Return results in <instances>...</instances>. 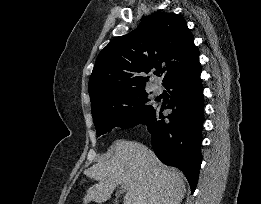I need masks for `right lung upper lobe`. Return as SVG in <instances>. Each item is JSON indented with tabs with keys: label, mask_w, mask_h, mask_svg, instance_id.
I'll list each match as a JSON object with an SVG mask.
<instances>
[{
	"label": "right lung upper lobe",
	"mask_w": 261,
	"mask_h": 204,
	"mask_svg": "<svg viewBox=\"0 0 261 204\" xmlns=\"http://www.w3.org/2000/svg\"><path fill=\"white\" fill-rule=\"evenodd\" d=\"M199 59L186 21L175 13L156 12L136 30L113 39L98 55L89 80L91 107L119 95L145 90V74L161 68L163 85Z\"/></svg>",
	"instance_id": "right-lung-upper-lobe-1"
}]
</instances>
